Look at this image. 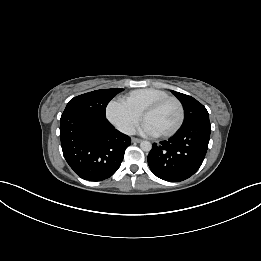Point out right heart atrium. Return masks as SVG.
Returning <instances> with one entry per match:
<instances>
[{
  "label": "right heart atrium",
  "instance_id": "d8ad5b80",
  "mask_svg": "<svg viewBox=\"0 0 261 261\" xmlns=\"http://www.w3.org/2000/svg\"><path fill=\"white\" fill-rule=\"evenodd\" d=\"M106 117L124 134H131L140 120V114L131 109L122 99H113L108 103Z\"/></svg>",
  "mask_w": 261,
  "mask_h": 261
}]
</instances>
